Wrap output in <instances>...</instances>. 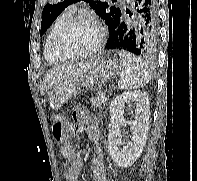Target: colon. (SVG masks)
Returning <instances> with one entry per match:
<instances>
[{"label":"colon","mask_w":197,"mask_h":181,"mask_svg":"<svg viewBox=\"0 0 197 181\" xmlns=\"http://www.w3.org/2000/svg\"><path fill=\"white\" fill-rule=\"evenodd\" d=\"M67 120L63 117H56L51 124L52 133L58 141H64L68 136Z\"/></svg>","instance_id":"5ec220e1"}]
</instances>
